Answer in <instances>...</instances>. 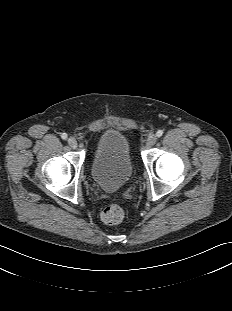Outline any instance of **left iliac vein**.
Listing matches in <instances>:
<instances>
[{"label": "left iliac vein", "mask_w": 232, "mask_h": 311, "mask_svg": "<svg viewBox=\"0 0 232 311\" xmlns=\"http://www.w3.org/2000/svg\"><path fill=\"white\" fill-rule=\"evenodd\" d=\"M157 141V137L155 135H150L146 141L147 147H152Z\"/></svg>", "instance_id": "1"}]
</instances>
